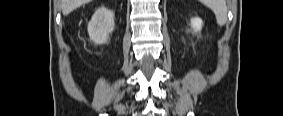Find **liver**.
<instances>
[{"instance_id": "obj_1", "label": "liver", "mask_w": 283, "mask_h": 116, "mask_svg": "<svg viewBox=\"0 0 283 116\" xmlns=\"http://www.w3.org/2000/svg\"><path fill=\"white\" fill-rule=\"evenodd\" d=\"M90 1L91 0H61L62 13L63 15H68L76 8Z\"/></svg>"}]
</instances>
